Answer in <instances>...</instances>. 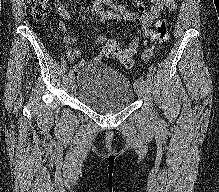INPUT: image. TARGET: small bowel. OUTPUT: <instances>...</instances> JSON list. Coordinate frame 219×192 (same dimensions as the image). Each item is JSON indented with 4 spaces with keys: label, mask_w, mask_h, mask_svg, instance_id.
Returning <instances> with one entry per match:
<instances>
[{
    "label": "small bowel",
    "mask_w": 219,
    "mask_h": 192,
    "mask_svg": "<svg viewBox=\"0 0 219 192\" xmlns=\"http://www.w3.org/2000/svg\"><path fill=\"white\" fill-rule=\"evenodd\" d=\"M110 0H97L94 4V10L103 20L107 19H122L128 22H134L137 26L138 34H143L144 37L149 38L151 34V28L154 22L157 20L160 13L172 12L176 9L175 0H149L150 6L146 8L141 0H133V2L142 10V14L138 16L136 13L121 6L115 8V12L105 11L103 9V3H108ZM55 10L64 21H69L71 14L69 10L60 0H55ZM59 21V29L63 33V42L67 47L66 54L70 62H76L83 54L80 49H70L69 45H72L78 41L76 37L71 36L66 29L63 21ZM105 38L99 36L95 42L97 44L103 43ZM132 44H138V38H136ZM152 52L144 53L143 59L148 60L151 57ZM78 65H76L77 67Z\"/></svg>",
    "instance_id": "obj_1"
}]
</instances>
